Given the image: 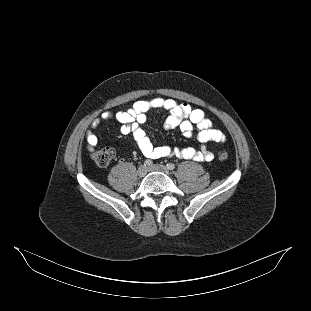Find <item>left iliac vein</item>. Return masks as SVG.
I'll return each mask as SVG.
<instances>
[{
	"label": "left iliac vein",
	"mask_w": 311,
	"mask_h": 311,
	"mask_svg": "<svg viewBox=\"0 0 311 311\" xmlns=\"http://www.w3.org/2000/svg\"><path fill=\"white\" fill-rule=\"evenodd\" d=\"M149 171H160V172H163L165 174H169V170L166 166L164 165H160V164H154V165H151L149 168H148Z\"/></svg>",
	"instance_id": "1"
}]
</instances>
